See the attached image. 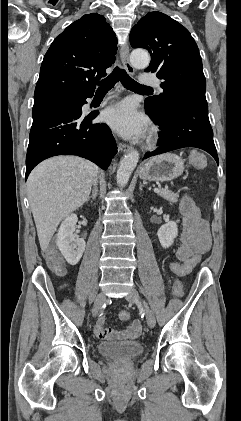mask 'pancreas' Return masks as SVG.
Segmentation results:
<instances>
[{
    "label": "pancreas",
    "instance_id": "obj_1",
    "mask_svg": "<svg viewBox=\"0 0 241 421\" xmlns=\"http://www.w3.org/2000/svg\"><path fill=\"white\" fill-rule=\"evenodd\" d=\"M158 194L163 197L164 199L170 201V202H177L179 195L166 189V188H159Z\"/></svg>",
    "mask_w": 241,
    "mask_h": 421
}]
</instances>
